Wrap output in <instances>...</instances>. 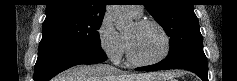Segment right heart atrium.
<instances>
[{
	"mask_svg": "<svg viewBox=\"0 0 237 81\" xmlns=\"http://www.w3.org/2000/svg\"><path fill=\"white\" fill-rule=\"evenodd\" d=\"M99 42L107 57L115 62H121L126 48L125 39L114 27L109 17L105 16L98 30Z\"/></svg>",
	"mask_w": 237,
	"mask_h": 81,
	"instance_id": "obj_1",
	"label": "right heart atrium"
}]
</instances>
